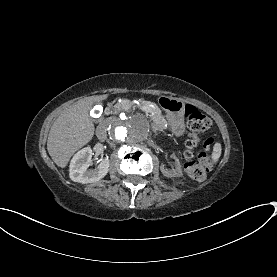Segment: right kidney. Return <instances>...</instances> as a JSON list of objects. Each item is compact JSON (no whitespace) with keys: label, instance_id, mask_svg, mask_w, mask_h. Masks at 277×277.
<instances>
[{"label":"right kidney","instance_id":"obj_1","mask_svg":"<svg viewBox=\"0 0 277 277\" xmlns=\"http://www.w3.org/2000/svg\"><path fill=\"white\" fill-rule=\"evenodd\" d=\"M93 151L87 147L80 150L72 159L70 165V179L76 183L90 184L103 179L109 172L110 160L103 159L97 168L89 169V162Z\"/></svg>","mask_w":277,"mask_h":277}]
</instances>
